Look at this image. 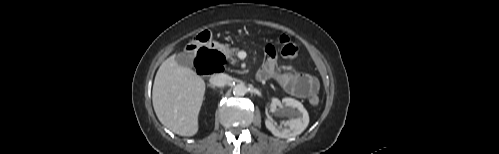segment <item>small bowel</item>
Returning a JSON list of instances; mask_svg holds the SVG:
<instances>
[{"label": "small bowel", "instance_id": "1", "mask_svg": "<svg viewBox=\"0 0 499 154\" xmlns=\"http://www.w3.org/2000/svg\"><path fill=\"white\" fill-rule=\"evenodd\" d=\"M265 56L266 60L258 73L261 80L274 78L286 92L298 98H309L318 92L319 82L314 76L291 70H277L276 54L273 46L269 45L265 48Z\"/></svg>", "mask_w": 499, "mask_h": 154}]
</instances>
